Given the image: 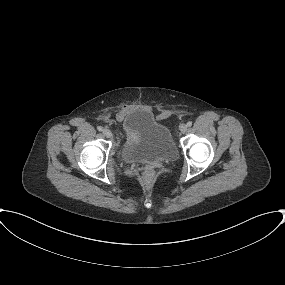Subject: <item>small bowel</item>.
I'll return each mask as SVG.
<instances>
[{"label":"small bowel","instance_id":"obj_1","mask_svg":"<svg viewBox=\"0 0 285 285\" xmlns=\"http://www.w3.org/2000/svg\"><path fill=\"white\" fill-rule=\"evenodd\" d=\"M132 110H133V106L131 105L123 106L117 113V119L119 121H123L125 117L132 112Z\"/></svg>","mask_w":285,"mask_h":285}]
</instances>
